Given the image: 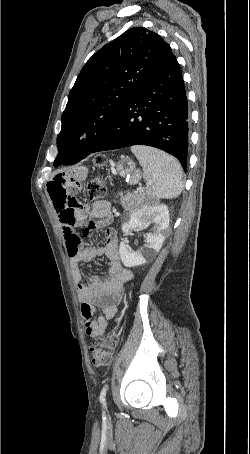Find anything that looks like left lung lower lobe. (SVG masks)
<instances>
[{"label": "left lung lower lobe", "mask_w": 250, "mask_h": 454, "mask_svg": "<svg viewBox=\"0 0 250 454\" xmlns=\"http://www.w3.org/2000/svg\"><path fill=\"white\" fill-rule=\"evenodd\" d=\"M188 104L180 66L174 55L128 101L90 153L147 145L175 156L187 170ZM83 157L54 162L73 165Z\"/></svg>", "instance_id": "left-lung-lower-lobe-1"}]
</instances>
